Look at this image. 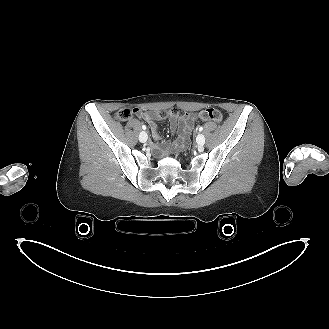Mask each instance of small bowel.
Listing matches in <instances>:
<instances>
[{
    "instance_id": "obj_1",
    "label": "small bowel",
    "mask_w": 329,
    "mask_h": 329,
    "mask_svg": "<svg viewBox=\"0 0 329 329\" xmlns=\"http://www.w3.org/2000/svg\"><path fill=\"white\" fill-rule=\"evenodd\" d=\"M137 116L150 124L152 135L155 140H159L160 133L156 125V120L167 119L170 122V129L173 134L178 133L179 136L172 144L162 143L158 149L163 153L170 150H182L186 147L189 134L194 129L195 117L192 114H186L177 107L164 111H140Z\"/></svg>"
}]
</instances>
